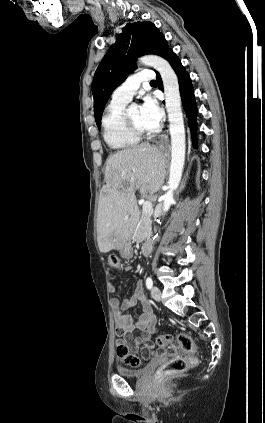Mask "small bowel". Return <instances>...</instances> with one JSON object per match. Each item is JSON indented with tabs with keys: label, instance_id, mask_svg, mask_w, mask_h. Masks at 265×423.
<instances>
[{
	"label": "small bowel",
	"instance_id": "1",
	"mask_svg": "<svg viewBox=\"0 0 265 423\" xmlns=\"http://www.w3.org/2000/svg\"><path fill=\"white\" fill-rule=\"evenodd\" d=\"M129 267H126L128 269ZM109 290L116 292L117 289L112 282L109 283ZM140 303L142 306V314L136 322L132 316L126 312L127 309ZM111 307L113 309L114 322L119 334H123L126 339V345L130 352H141L144 357H149L153 348L152 337L155 332V324L157 318L149 305L145 293L140 284L134 290V293L119 301L117 298L111 300ZM139 330L140 335L135 336L134 331Z\"/></svg>",
	"mask_w": 265,
	"mask_h": 423
}]
</instances>
